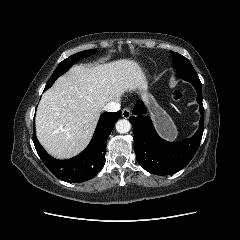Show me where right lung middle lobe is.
<instances>
[{
    "instance_id": "obj_1",
    "label": "right lung middle lobe",
    "mask_w": 240,
    "mask_h": 240,
    "mask_svg": "<svg viewBox=\"0 0 240 240\" xmlns=\"http://www.w3.org/2000/svg\"><path fill=\"white\" fill-rule=\"evenodd\" d=\"M95 52V49L92 50H86V51H82L79 53H76L70 57H68L67 59L63 60L55 69V71L53 72L52 76L50 77V79L48 80L46 86H45V90H47L48 88L51 87V85L54 83V81L60 76L62 75L64 72L68 71V69L79 59L81 58H85L88 57L90 54H93Z\"/></svg>"
}]
</instances>
